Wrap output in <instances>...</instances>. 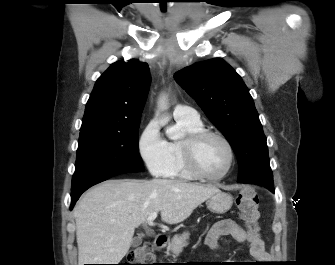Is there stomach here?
Returning a JSON list of instances; mask_svg holds the SVG:
<instances>
[{
	"label": "stomach",
	"instance_id": "1",
	"mask_svg": "<svg viewBox=\"0 0 335 265\" xmlns=\"http://www.w3.org/2000/svg\"><path fill=\"white\" fill-rule=\"evenodd\" d=\"M233 198L226 192L219 191L207 200L208 209L217 214L226 213L232 206Z\"/></svg>",
	"mask_w": 335,
	"mask_h": 265
}]
</instances>
